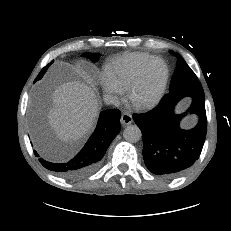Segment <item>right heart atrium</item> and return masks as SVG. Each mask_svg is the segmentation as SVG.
I'll use <instances>...</instances> for the list:
<instances>
[{
    "label": "right heart atrium",
    "instance_id": "d8ad5b80",
    "mask_svg": "<svg viewBox=\"0 0 231 231\" xmlns=\"http://www.w3.org/2000/svg\"><path fill=\"white\" fill-rule=\"evenodd\" d=\"M101 87L104 94L112 99L113 101H118L123 95L124 89L117 85L112 79L107 75L103 76L101 79Z\"/></svg>",
    "mask_w": 231,
    "mask_h": 231
}]
</instances>
